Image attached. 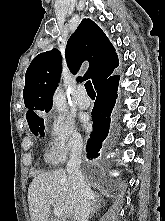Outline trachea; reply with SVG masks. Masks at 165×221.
<instances>
[{
	"label": "trachea",
	"mask_w": 165,
	"mask_h": 221,
	"mask_svg": "<svg viewBox=\"0 0 165 221\" xmlns=\"http://www.w3.org/2000/svg\"><path fill=\"white\" fill-rule=\"evenodd\" d=\"M85 89H86L87 94H88L89 96H94V95L96 94L95 91H94V88H93V86H92L91 81H87V82L85 83Z\"/></svg>",
	"instance_id": "obj_1"
}]
</instances>
